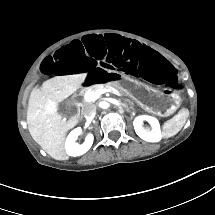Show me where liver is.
I'll use <instances>...</instances> for the list:
<instances>
[{
  "label": "liver",
  "mask_w": 215,
  "mask_h": 215,
  "mask_svg": "<svg viewBox=\"0 0 215 215\" xmlns=\"http://www.w3.org/2000/svg\"><path fill=\"white\" fill-rule=\"evenodd\" d=\"M87 73L56 76L45 81L40 89L30 94L27 110L28 130L32 138L54 159L66 154L64 141L68 130L78 123V117L65 120L58 114V103L77 91Z\"/></svg>",
  "instance_id": "obj_1"
}]
</instances>
